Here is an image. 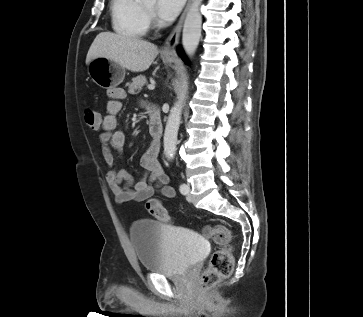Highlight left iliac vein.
Here are the masks:
<instances>
[{"mask_svg": "<svg viewBox=\"0 0 363 317\" xmlns=\"http://www.w3.org/2000/svg\"><path fill=\"white\" fill-rule=\"evenodd\" d=\"M186 186H187V200L189 202H191V200H192V197H191V194H190L191 188H190V186L188 184H186Z\"/></svg>", "mask_w": 363, "mask_h": 317, "instance_id": "1", "label": "left iliac vein"}]
</instances>
